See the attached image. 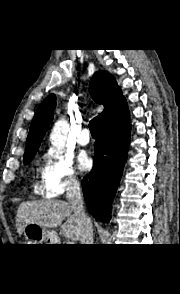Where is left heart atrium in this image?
Returning a JSON list of instances; mask_svg holds the SVG:
<instances>
[{"mask_svg": "<svg viewBox=\"0 0 180 294\" xmlns=\"http://www.w3.org/2000/svg\"><path fill=\"white\" fill-rule=\"evenodd\" d=\"M77 162H78V167L81 170H87L91 166V160L89 156L84 152L78 155Z\"/></svg>", "mask_w": 180, "mask_h": 294, "instance_id": "39dd6f15", "label": "left heart atrium"}]
</instances>
